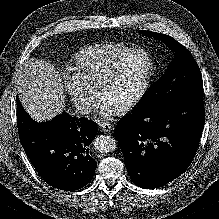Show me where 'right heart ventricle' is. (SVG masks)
<instances>
[{"label":"right heart ventricle","instance_id":"e07e8e85","mask_svg":"<svg viewBox=\"0 0 219 219\" xmlns=\"http://www.w3.org/2000/svg\"><path fill=\"white\" fill-rule=\"evenodd\" d=\"M132 49L121 43L90 46L75 54L72 69L88 86L96 88L100 77L108 67Z\"/></svg>","mask_w":219,"mask_h":219}]
</instances>
